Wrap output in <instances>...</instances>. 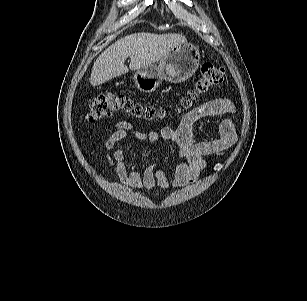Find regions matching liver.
I'll return each mask as SVG.
<instances>
[{"mask_svg": "<svg viewBox=\"0 0 307 301\" xmlns=\"http://www.w3.org/2000/svg\"><path fill=\"white\" fill-rule=\"evenodd\" d=\"M186 38L180 34L134 33L119 39L109 46L96 59L90 83L92 86L103 84L130 70H138L151 65L163 57L178 44L185 43ZM130 57L129 68L125 60Z\"/></svg>", "mask_w": 307, "mask_h": 301, "instance_id": "liver-1", "label": "liver"}]
</instances>
